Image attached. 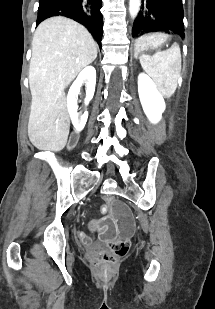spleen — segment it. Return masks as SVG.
<instances>
[{"instance_id": "1", "label": "spleen", "mask_w": 215, "mask_h": 309, "mask_svg": "<svg viewBox=\"0 0 215 309\" xmlns=\"http://www.w3.org/2000/svg\"><path fill=\"white\" fill-rule=\"evenodd\" d=\"M140 62L143 70L153 78L159 92L170 98L177 88V80L181 68V50L174 42L167 50L155 54H141Z\"/></svg>"}]
</instances>
